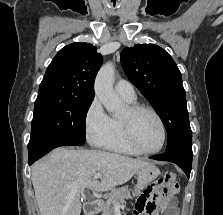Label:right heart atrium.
<instances>
[{
	"label": "right heart atrium",
	"instance_id": "right-heart-atrium-1",
	"mask_svg": "<svg viewBox=\"0 0 223 215\" xmlns=\"http://www.w3.org/2000/svg\"><path fill=\"white\" fill-rule=\"evenodd\" d=\"M84 128L89 139L101 143L112 128V118L105 112L98 98H94L85 114Z\"/></svg>",
	"mask_w": 223,
	"mask_h": 215
}]
</instances>
